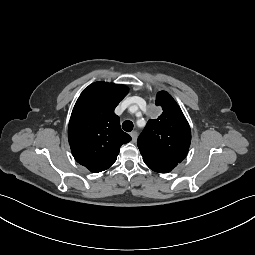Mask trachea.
Segmentation results:
<instances>
[{
    "mask_svg": "<svg viewBox=\"0 0 255 255\" xmlns=\"http://www.w3.org/2000/svg\"><path fill=\"white\" fill-rule=\"evenodd\" d=\"M122 128L126 132H131L132 129H133V123L129 120L124 121L123 124H122Z\"/></svg>",
    "mask_w": 255,
    "mask_h": 255,
    "instance_id": "1",
    "label": "trachea"
}]
</instances>
